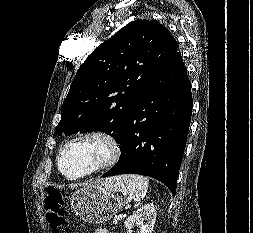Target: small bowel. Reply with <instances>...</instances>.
<instances>
[{
	"label": "small bowel",
	"mask_w": 253,
	"mask_h": 233,
	"mask_svg": "<svg viewBox=\"0 0 253 233\" xmlns=\"http://www.w3.org/2000/svg\"><path fill=\"white\" fill-rule=\"evenodd\" d=\"M95 233H109L106 229L100 228L95 231Z\"/></svg>",
	"instance_id": "obj_1"
}]
</instances>
